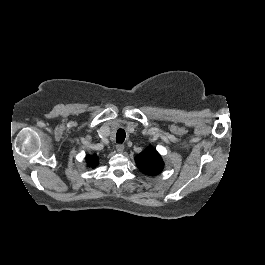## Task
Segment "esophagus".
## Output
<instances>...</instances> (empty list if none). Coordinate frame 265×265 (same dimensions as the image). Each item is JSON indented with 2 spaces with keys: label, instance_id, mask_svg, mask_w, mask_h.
<instances>
[{
  "label": "esophagus",
  "instance_id": "34e87169",
  "mask_svg": "<svg viewBox=\"0 0 265 265\" xmlns=\"http://www.w3.org/2000/svg\"><path fill=\"white\" fill-rule=\"evenodd\" d=\"M116 150H117V152H119V153L123 152V150H124V145H123V144H117V145H116Z\"/></svg>",
  "mask_w": 265,
  "mask_h": 265
}]
</instances>
